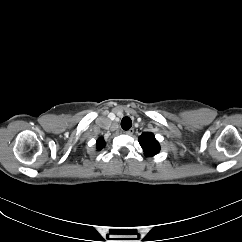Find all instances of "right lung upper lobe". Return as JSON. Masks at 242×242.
<instances>
[{
    "mask_svg": "<svg viewBox=\"0 0 242 242\" xmlns=\"http://www.w3.org/2000/svg\"><path fill=\"white\" fill-rule=\"evenodd\" d=\"M105 141L103 138H99L97 141V149L101 150L105 146Z\"/></svg>",
    "mask_w": 242,
    "mask_h": 242,
    "instance_id": "right-lung-upper-lobe-1",
    "label": "right lung upper lobe"
}]
</instances>
